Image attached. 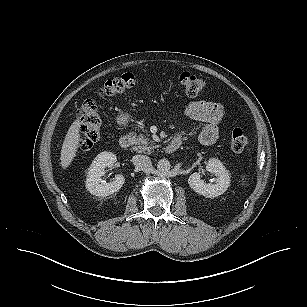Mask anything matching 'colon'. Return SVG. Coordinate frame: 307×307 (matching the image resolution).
Wrapping results in <instances>:
<instances>
[{"label": "colon", "mask_w": 307, "mask_h": 307, "mask_svg": "<svg viewBox=\"0 0 307 307\" xmlns=\"http://www.w3.org/2000/svg\"><path fill=\"white\" fill-rule=\"evenodd\" d=\"M136 78L133 74L127 73L108 81L99 90L102 98H116L125 95L135 85ZM177 81L182 92L189 97H196L206 94L209 88L207 79L198 77L189 72L177 74ZM81 126L79 130V148L82 151L90 150L99 140L101 134L102 120L97 106L93 101H86L79 110ZM252 143L241 129L236 128L230 137V147L234 152H242Z\"/></svg>", "instance_id": "5ec220e1"}]
</instances>
